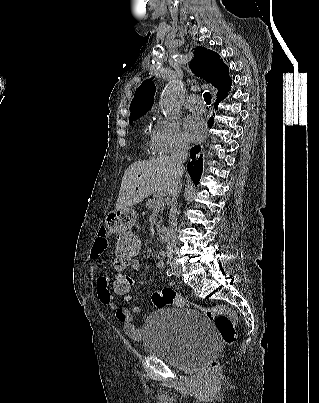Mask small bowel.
I'll use <instances>...</instances> for the list:
<instances>
[{
	"instance_id": "1",
	"label": "small bowel",
	"mask_w": 319,
	"mask_h": 403,
	"mask_svg": "<svg viewBox=\"0 0 319 403\" xmlns=\"http://www.w3.org/2000/svg\"><path fill=\"white\" fill-rule=\"evenodd\" d=\"M108 232L105 228H100L97 238L91 249L90 257L93 260H100L108 249ZM138 255V254H137ZM164 253H160L158 256L157 267L162 268L164 265ZM139 268V264H138ZM138 268H127L133 271H137ZM117 269V268H116ZM135 279L131 277V286ZM169 286H174L173 281L168 282ZM97 290L101 302L112 309L115 312L116 320L121 324L122 329L126 336L133 341H140L142 339V330L136 327L133 323L134 315L140 312V308L134 307L128 309L123 306L121 302L117 300L113 286L109 284V279L106 276H101L97 280Z\"/></svg>"
}]
</instances>
